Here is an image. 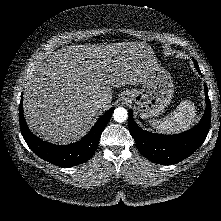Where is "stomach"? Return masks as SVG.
Listing matches in <instances>:
<instances>
[{
  "instance_id": "stomach-1",
  "label": "stomach",
  "mask_w": 221,
  "mask_h": 221,
  "mask_svg": "<svg viewBox=\"0 0 221 221\" xmlns=\"http://www.w3.org/2000/svg\"><path fill=\"white\" fill-rule=\"evenodd\" d=\"M140 89L124 91V100L134 103L142 119L162 114L170 104L174 94L171 75L158 63L151 66L142 81Z\"/></svg>"
}]
</instances>
